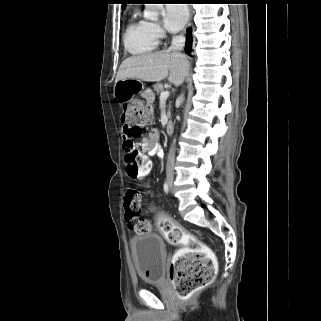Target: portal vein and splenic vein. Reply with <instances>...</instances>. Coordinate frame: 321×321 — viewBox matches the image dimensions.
<instances>
[{
	"label": "portal vein and splenic vein",
	"instance_id": "1",
	"mask_svg": "<svg viewBox=\"0 0 321 321\" xmlns=\"http://www.w3.org/2000/svg\"><path fill=\"white\" fill-rule=\"evenodd\" d=\"M169 91H163L161 92L160 94V100H164V99H167L169 97Z\"/></svg>",
	"mask_w": 321,
	"mask_h": 321
}]
</instances>
